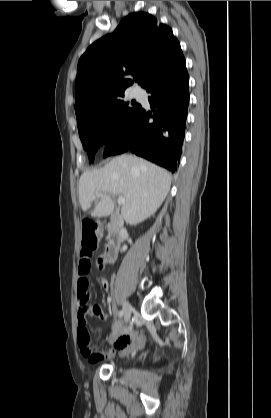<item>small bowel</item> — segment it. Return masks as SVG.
Masks as SVG:
<instances>
[{
	"instance_id": "small-bowel-1",
	"label": "small bowel",
	"mask_w": 271,
	"mask_h": 418,
	"mask_svg": "<svg viewBox=\"0 0 271 418\" xmlns=\"http://www.w3.org/2000/svg\"><path fill=\"white\" fill-rule=\"evenodd\" d=\"M90 269V260L82 258L78 267V284H77V303L79 312L77 315L78 327L81 325L84 328H93L95 332L100 330V317L103 315V310L99 305H96L95 299L92 298L88 290V273ZM104 287H107L105 281L102 282ZM110 341L113 345V350L105 353L98 351L92 346H84L79 343L81 354L90 362L97 363L103 359L113 356L114 351L118 350L125 354L132 349L140 347L143 343V338L136 333L132 328L127 329L124 333H113L110 336Z\"/></svg>"
}]
</instances>
